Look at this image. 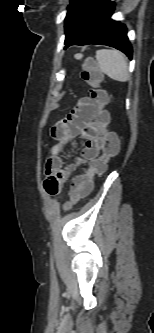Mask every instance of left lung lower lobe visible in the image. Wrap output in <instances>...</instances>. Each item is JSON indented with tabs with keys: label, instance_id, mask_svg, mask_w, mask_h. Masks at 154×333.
Listing matches in <instances>:
<instances>
[{
	"label": "left lung lower lobe",
	"instance_id": "1",
	"mask_svg": "<svg viewBox=\"0 0 154 333\" xmlns=\"http://www.w3.org/2000/svg\"><path fill=\"white\" fill-rule=\"evenodd\" d=\"M113 10L112 1L98 0L83 17L77 32L68 40L65 48L71 45H107L132 58L126 26L111 19Z\"/></svg>",
	"mask_w": 154,
	"mask_h": 333
}]
</instances>
